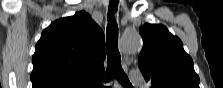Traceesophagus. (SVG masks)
Wrapping results in <instances>:
<instances>
[{
  "label": "esophagus",
  "instance_id": "obj_1",
  "mask_svg": "<svg viewBox=\"0 0 223 88\" xmlns=\"http://www.w3.org/2000/svg\"><path fill=\"white\" fill-rule=\"evenodd\" d=\"M114 85H115V88H118L119 87L117 83H115Z\"/></svg>",
  "mask_w": 223,
  "mask_h": 88
}]
</instances>
